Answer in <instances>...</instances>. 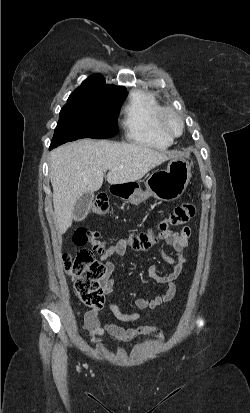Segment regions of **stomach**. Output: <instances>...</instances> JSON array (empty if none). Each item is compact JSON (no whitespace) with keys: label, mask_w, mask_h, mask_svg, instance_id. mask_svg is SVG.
Here are the masks:
<instances>
[{"label":"stomach","mask_w":250,"mask_h":413,"mask_svg":"<svg viewBox=\"0 0 250 413\" xmlns=\"http://www.w3.org/2000/svg\"><path fill=\"white\" fill-rule=\"evenodd\" d=\"M190 178L191 165L184 158L177 156L171 158L165 171L149 176L145 191L138 182L133 181L123 183L116 194L133 205L145 202L149 196H154L159 201H174L185 192Z\"/></svg>","instance_id":"obj_1"}]
</instances>
